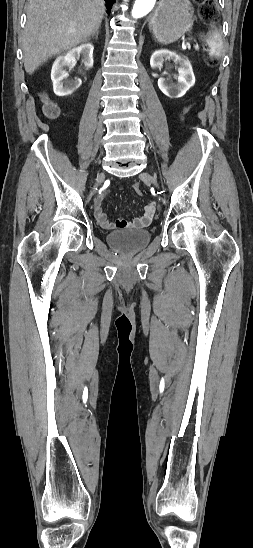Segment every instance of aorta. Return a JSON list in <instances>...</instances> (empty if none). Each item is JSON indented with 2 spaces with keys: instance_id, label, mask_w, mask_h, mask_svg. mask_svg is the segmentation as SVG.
Wrapping results in <instances>:
<instances>
[{
  "instance_id": "obj_1",
  "label": "aorta",
  "mask_w": 253,
  "mask_h": 548,
  "mask_svg": "<svg viewBox=\"0 0 253 548\" xmlns=\"http://www.w3.org/2000/svg\"><path fill=\"white\" fill-rule=\"evenodd\" d=\"M156 0H136L132 9V17L135 19L144 17L155 6Z\"/></svg>"
}]
</instances>
